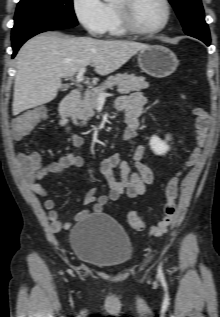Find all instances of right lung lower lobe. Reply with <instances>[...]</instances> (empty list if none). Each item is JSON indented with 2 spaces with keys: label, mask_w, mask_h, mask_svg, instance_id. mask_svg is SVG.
I'll use <instances>...</instances> for the list:
<instances>
[{
  "label": "right lung lower lobe",
  "mask_w": 220,
  "mask_h": 317,
  "mask_svg": "<svg viewBox=\"0 0 220 317\" xmlns=\"http://www.w3.org/2000/svg\"><path fill=\"white\" fill-rule=\"evenodd\" d=\"M74 27V25L60 22V21H45L39 22L35 24H31L15 34H12V47H13V55L14 57L20 48V46L32 36L49 30H58V29H66Z\"/></svg>",
  "instance_id": "1"
}]
</instances>
